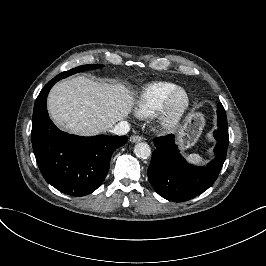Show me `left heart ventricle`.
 I'll use <instances>...</instances> for the list:
<instances>
[{"mask_svg": "<svg viewBox=\"0 0 266 266\" xmlns=\"http://www.w3.org/2000/svg\"><path fill=\"white\" fill-rule=\"evenodd\" d=\"M185 102H186V99H185V96L183 93H180L175 101H174V104H173V110L175 113H179L185 106Z\"/></svg>", "mask_w": 266, "mask_h": 266, "instance_id": "obj_1", "label": "left heart ventricle"}]
</instances>
